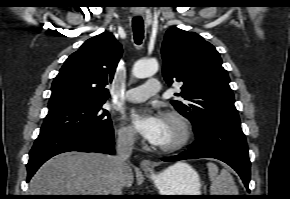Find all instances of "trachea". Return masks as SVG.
I'll list each match as a JSON object with an SVG mask.
<instances>
[{
	"instance_id": "trachea-1",
	"label": "trachea",
	"mask_w": 290,
	"mask_h": 199,
	"mask_svg": "<svg viewBox=\"0 0 290 199\" xmlns=\"http://www.w3.org/2000/svg\"><path fill=\"white\" fill-rule=\"evenodd\" d=\"M132 26H133L134 40L137 45H140L144 37V25H143L142 18L135 17L133 19Z\"/></svg>"
}]
</instances>
